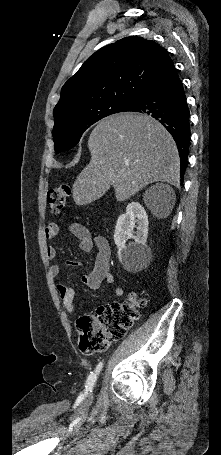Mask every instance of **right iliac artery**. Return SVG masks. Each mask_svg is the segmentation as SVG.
Listing matches in <instances>:
<instances>
[{
  "mask_svg": "<svg viewBox=\"0 0 221 455\" xmlns=\"http://www.w3.org/2000/svg\"><path fill=\"white\" fill-rule=\"evenodd\" d=\"M102 365H103L102 362H100L97 365L95 371L89 375V377L87 379V382H86V386H85L87 392L92 390V388H93V386H94V384H95V382L97 380V377H98V375L100 374V372L102 370Z\"/></svg>",
  "mask_w": 221,
  "mask_h": 455,
  "instance_id": "right-iliac-artery-1",
  "label": "right iliac artery"
}]
</instances>
